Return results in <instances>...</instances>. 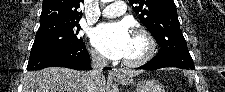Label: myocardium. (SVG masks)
<instances>
[{
	"label": "myocardium",
	"instance_id": "myocardium-1",
	"mask_svg": "<svg viewBox=\"0 0 225 92\" xmlns=\"http://www.w3.org/2000/svg\"><path fill=\"white\" fill-rule=\"evenodd\" d=\"M134 37L143 40L145 44V52L138 59H125L124 64L128 67H139L146 64L155 54L156 42L152 34L145 28H138L133 32Z\"/></svg>",
	"mask_w": 225,
	"mask_h": 92
}]
</instances>
